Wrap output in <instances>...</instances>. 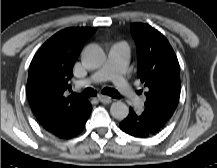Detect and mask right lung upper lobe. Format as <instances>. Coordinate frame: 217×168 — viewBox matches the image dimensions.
<instances>
[{
	"label": "right lung upper lobe",
	"mask_w": 217,
	"mask_h": 168,
	"mask_svg": "<svg viewBox=\"0 0 217 168\" xmlns=\"http://www.w3.org/2000/svg\"><path fill=\"white\" fill-rule=\"evenodd\" d=\"M95 32L90 27L64 29L47 40L29 67L27 96L39 123L50 133L80 118L91 104L69 97L73 65L84 42Z\"/></svg>",
	"instance_id": "1"
}]
</instances>
